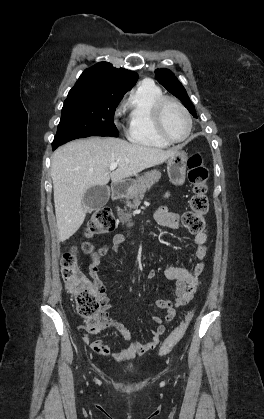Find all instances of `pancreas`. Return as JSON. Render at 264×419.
I'll return each instance as SVG.
<instances>
[{
    "label": "pancreas",
    "mask_w": 264,
    "mask_h": 419,
    "mask_svg": "<svg viewBox=\"0 0 264 419\" xmlns=\"http://www.w3.org/2000/svg\"><path fill=\"white\" fill-rule=\"evenodd\" d=\"M160 177L161 173L156 170H152L144 173L141 176H137L136 180L133 181L132 185L128 189L126 205L130 209L137 208L140 205V200L144 197L146 190L150 189L156 182H158ZM118 215L122 222H128L131 218L130 214L125 213L120 208H118Z\"/></svg>",
    "instance_id": "cf45deb5"
}]
</instances>
